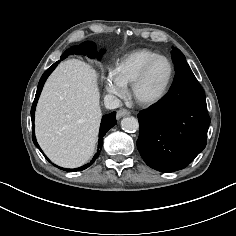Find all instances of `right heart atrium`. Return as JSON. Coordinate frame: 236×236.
<instances>
[{
    "label": "right heart atrium",
    "mask_w": 236,
    "mask_h": 236,
    "mask_svg": "<svg viewBox=\"0 0 236 236\" xmlns=\"http://www.w3.org/2000/svg\"><path fill=\"white\" fill-rule=\"evenodd\" d=\"M105 89L111 95L122 96L126 87L115 78L112 71H109L105 77Z\"/></svg>",
    "instance_id": "d8ad5b80"
}]
</instances>
